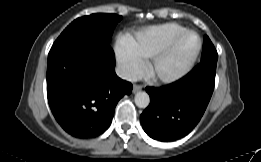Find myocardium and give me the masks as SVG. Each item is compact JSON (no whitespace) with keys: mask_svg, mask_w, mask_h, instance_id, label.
<instances>
[{"mask_svg":"<svg viewBox=\"0 0 261 162\" xmlns=\"http://www.w3.org/2000/svg\"><path fill=\"white\" fill-rule=\"evenodd\" d=\"M187 34H194L196 35L198 39L197 46L194 50V52L191 54V56L188 58V60L184 63L183 66H181L179 69H177L174 72L171 73H160L157 71V67L160 64V62L167 57L176 44ZM202 47V40L200 35L194 31V30H184L181 33L174 36L170 41H168L159 51H157L153 56L150 57L148 63H147V73L148 75L155 81L161 82V83H174L181 78H183L186 74L189 73V71L192 69L194 63L196 62L198 55L201 51Z\"/></svg>","mask_w":261,"mask_h":162,"instance_id":"obj_1","label":"myocardium"}]
</instances>
